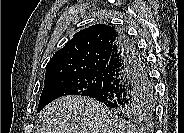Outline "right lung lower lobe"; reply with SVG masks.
<instances>
[{
  "label": "right lung lower lobe",
  "instance_id": "1",
  "mask_svg": "<svg viewBox=\"0 0 184 133\" xmlns=\"http://www.w3.org/2000/svg\"><path fill=\"white\" fill-rule=\"evenodd\" d=\"M151 90L144 58L136 45L120 33L104 70L102 87L94 99L106 106L131 105L146 99Z\"/></svg>",
  "mask_w": 184,
  "mask_h": 133
}]
</instances>
